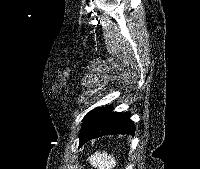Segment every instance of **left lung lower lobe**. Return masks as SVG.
I'll list each match as a JSON object with an SVG mask.
<instances>
[{"label": "left lung lower lobe", "instance_id": "1", "mask_svg": "<svg viewBox=\"0 0 200 169\" xmlns=\"http://www.w3.org/2000/svg\"><path fill=\"white\" fill-rule=\"evenodd\" d=\"M129 112H113L112 107L95 108L83 120L79 146L103 135L134 134Z\"/></svg>", "mask_w": 200, "mask_h": 169}]
</instances>
